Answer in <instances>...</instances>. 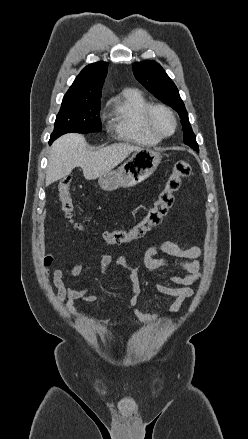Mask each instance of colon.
<instances>
[{
  "label": "colon",
  "mask_w": 248,
  "mask_h": 439,
  "mask_svg": "<svg viewBox=\"0 0 248 439\" xmlns=\"http://www.w3.org/2000/svg\"><path fill=\"white\" fill-rule=\"evenodd\" d=\"M192 166L187 161H178L172 173L168 176L164 188L159 193L153 205L149 208L146 215L129 229L111 230L96 233L95 238L108 246L121 245L133 239L143 236L146 232L158 225L163 216L174 201V194L180 189L182 180L189 177ZM60 209L65 219L73 224L76 229L82 226L73 220V201L70 191V180L64 178L59 183Z\"/></svg>",
  "instance_id": "obj_1"
}]
</instances>
